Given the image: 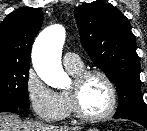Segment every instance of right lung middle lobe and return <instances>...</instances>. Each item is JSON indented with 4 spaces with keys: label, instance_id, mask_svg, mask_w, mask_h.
<instances>
[{
    "label": "right lung middle lobe",
    "instance_id": "dd1d6c3e",
    "mask_svg": "<svg viewBox=\"0 0 147 131\" xmlns=\"http://www.w3.org/2000/svg\"><path fill=\"white\" fill-rule=\"evenodd\" d=\"M29 65L0 62V104L28 109Z\"/></svg>",
    "mask_w": 147,
    "mask_h": 131
}]
</instances>
